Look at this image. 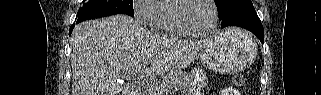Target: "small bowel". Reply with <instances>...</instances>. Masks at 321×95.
I'll return each instance as SVG.
<instances>
[{"instance_id": "obj_1", "label": "small bowel", "mask_w": 321, "mask_h": 95, "mask_svg": "<svg viewBox=\"0 0 321 95\" xmlns=\"http://www.w3.org/2000/svg\"><path fill=\"white\" fill-rule=\"evenodd\" d=\"M220 95H238V91L233 87H226L220 92Z\"/></svg>"}]
</instances>
